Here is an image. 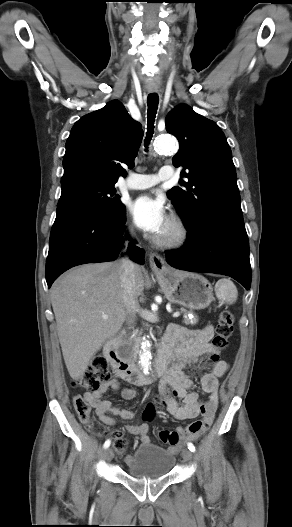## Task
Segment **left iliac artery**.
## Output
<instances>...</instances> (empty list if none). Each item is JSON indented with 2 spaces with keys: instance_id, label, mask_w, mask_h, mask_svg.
Here are the masks:
<instances>
[{
  "instance_id": "44dca946",
  "label": "left iliac artery",
  "mask_w": 292,
  "mask_h": 527,
  "mask_svg": "<svg viewBox=\"0 0 292 527\" xmlns=\"http://www.w3.org/2000/svg\"><path fill=\"white\" fill-rule=\"evenodd\" d=\"M187 446L190 451H195V446L192 443H188Z\"/></svg>"
}]
</instances>
